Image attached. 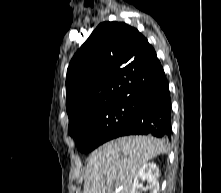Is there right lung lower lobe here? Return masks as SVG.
I'll return each instance as SVG.
<instances>
[{
    "label": "right lung lower lobe",
    "instance_id": "obj_1",
    "mask_svg": "<svg viewBox=\"0 0 221 193\" xmlns=\"http://www.w3.org/2000/svg\"><path fill=\"white\" fill-rule=\"evenodd\" d=\"M136 134L171 137V99L163 68L141 94L137 113L113 138Z\"/></svg>",
    "mask_w": 221,
    "mask_h": 193
}]
</instances>
